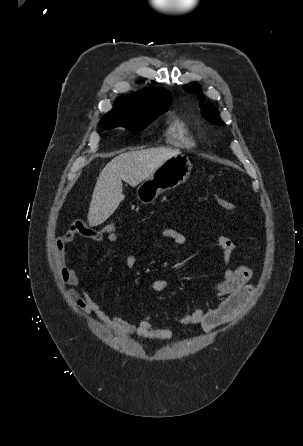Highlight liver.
Masks as SVG:
<instances>
[{"label": "liver", "instance_id": "liver-1", "mask_svg": "<svg viewBox=\"0 0 303 446\" xmlns=\"http://www.w3.org/2000/svg\"><path fill=\"white\" fill-rule=\"evenodd\" d=\"M178 154L179 150L152 148L125 152L112 159L101 171L95 185L88 212L89 225L102 224L117 209L125 198L122 180L135 187Z\"/></svg>", "mask_w": 303, "mask_h": 446}]
</instances>
